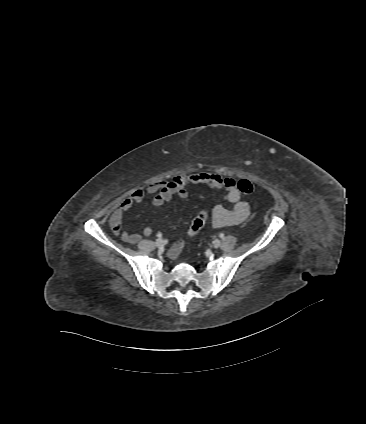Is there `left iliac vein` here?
Instances as JSON below:
<instances>
[{
    "label": "left iliac vein",
    "instance_id": "4c4485c4",
    "mask_svg": "<svg viewBox=\"0 0 366 424\" xmlns=\"http://www.w3.org/2000/svg\"><path fill=\"white\" fill-rule=\"evenodd\" d=\"M220 244H221V241L219 239H215L213 241V247L214 248H218L220 246Z\"/></svg>",
    "mask_w": 366,
    "mask_h": 424
}]
</instances>
